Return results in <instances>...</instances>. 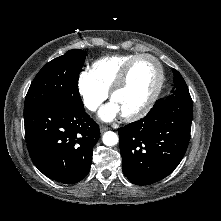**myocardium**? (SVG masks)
Here are the masks:
<instances>
[{"label":"myocardium","instance_id":"myocardium-1","mask_svg":"<svg viewBox=\"0 0 221 221\" xmlns=\"http://www.w3.org/2000/svg\"><path fill=\"white\" fill-rule=\"evenodd\" d=\"M142 59L152 60L156 64L157 69H158V82H157V85H156L153 93L151 94V96L149 97V99L147 100V102L144 104V106L141 109H139L138 111H136L132 114H123L122 115V118L128 122L139 120V119L143 118L146 114H148V112L151 110V108L155 104L156 100L158 99V97L161 93V90L163 88V84H164L165 75H164V69H163L161 62L153 55L139 54L136 57H134L133 59H131L120 71L118 77L116 78L113 86L111 87V89L109 91L110 99L112 100L114 95L120 89H122V87L125 85V83L127 81V78L129 76L131 69L139 60H142Z\"/></svg>","mask_w":221,"mask_h":221}]
</instances>
